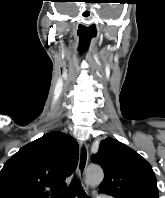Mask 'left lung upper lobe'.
<instances>
[{
	"instance_id": "5c2ea615",
	"label": "left lung upper lobe",
	"mask_w": 165,
	"mask_h": 198,
	"mask_svg": "<svg viewBox=\"0 0 165 198\" xmlns=\"http://www.w3.org/2000/svg\"><path fill=\"white\" fill-rule=\"evenodd\" d=\"M92 161L102 166L100 191L115 198H159L151 165L125 144L107 138Z\"/></svg>"
}]
</instances>
